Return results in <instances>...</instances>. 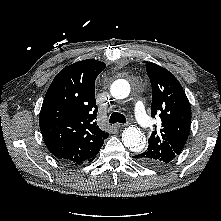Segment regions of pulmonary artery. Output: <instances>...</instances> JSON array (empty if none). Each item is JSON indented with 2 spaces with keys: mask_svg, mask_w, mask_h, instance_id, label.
<instances>
[{
  "mask_svg": "<svg viewBox=\"0 0 221 221\" xmlns=\"http://www.w3.org/2000/svg\"><path fill=\"white\" fill-rule=\"evenodd\" d=\"M134 113H135V117L138 121V123L143 127V128H147L150 125V119L148 117V115L145 112L143 103L138 101L135 104V108H134Z\"/></svg>",
  "mask_w": 221,
  "mask_h": 221,
  "instance_id": "obj_1",
  "label": "pulmonary artery"
}]
</instances>
